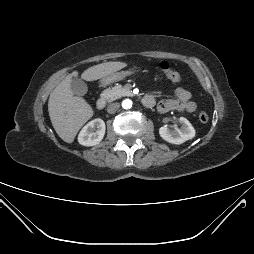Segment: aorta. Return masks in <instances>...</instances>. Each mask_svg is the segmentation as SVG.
I'll return each instance as SVG.
<instances>
[{
  "label": "aorta",
  "instance_id": "1",
  "mask_svg": "<svg viewBox=\"0 0 254 254\" xmlns=\"http://www.w3.org/2000/svg\"><path fill=\"white\" fill-rule=\"evenodd\" d=\"M122 107L124 109H130L132 107V101L130 99H125L123 102H122Z\"/></svg>",
  "mask_w": 254,
  "mask_h": 254
}]
</instances>
